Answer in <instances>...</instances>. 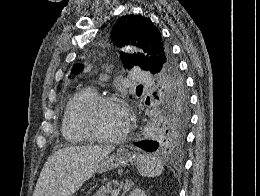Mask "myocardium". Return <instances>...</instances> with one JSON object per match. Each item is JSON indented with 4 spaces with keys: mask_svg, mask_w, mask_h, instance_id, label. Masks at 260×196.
Listing matches in <instances>:
<instances>
[{
    "mask_svg": "<svg viewBox=\"0 0 260 196\" xmlns=\"http://www.w3.org/2000/svg\"><path fill=\"white\" fill-rule=\"evenodd\" d=\"M110 104H117L122 106L125 109L127 115L125 127L123 130H121L120 133L116 135L100 133L92 126V119L97 110L105 105ZM78 126L81 130L88 134L91 139L95 141L115 143L123 141L130 133L132 128V118L127 103L122 98L117 96H97L85 107L81 118L78 120Z\"/></svg>",
    "mask_w": 260,
    "mask_h": 196,
    "instance_id": "f54148a6",
    "label": "myocardium"
}]
</instances>
